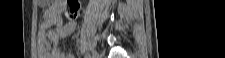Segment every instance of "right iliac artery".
Instances as JSON below:
<instances>
[{"label":"right iliac artery","mask_w":225,"mask_h":58,"mask_svg":"<svg viewBox=\"0 0 225 58\" xmlns=\"http://www.w3.org/2000/svg\"><path fill=\"white\" fill-rule=\"evenodd\" d=\"M85 58H90V56L89 55H86Z\"/></svg>","instance_id":"right-iliac-artery-1"}]
</instances>
